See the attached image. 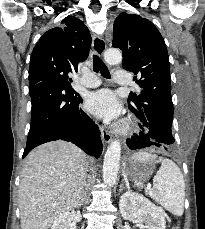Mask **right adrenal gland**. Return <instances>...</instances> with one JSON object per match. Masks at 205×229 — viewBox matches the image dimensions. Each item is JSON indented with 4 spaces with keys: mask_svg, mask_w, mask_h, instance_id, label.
I'll list each match as a JSON object with an SVG mask.
<instances>
[{
    "mask_svg": "<svg viewBox=\"0 0 205 229\" xmlns=\"http://www.w3.org/2000/svg\"><path fill=\"white\" fill-rule=\"evenodd\" d=\"M85 198H86V191H85V190H83V194H82V197H81V200H80V202H79L78 206H81V205H83V204H84V202H85Z\"/></svg>",
    "mask_w": 205,
    "mask_h": 229,
    "instance_id": "obj_1",
    "label": "right adrenal gland"
}]
</instances>
